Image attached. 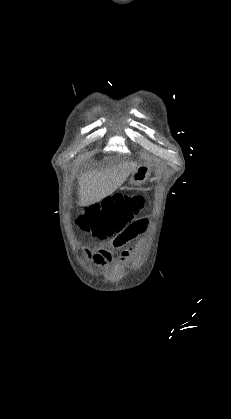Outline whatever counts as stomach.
<instances>
[{
  "label": "stomach",
  "mask_w": 231,
  "mask_h": 419,
  "mask_svg": "<svg viewBox=\"0 0 231 419\" xmlns=\"http://www.w3.org/2000/svg\"><path fill=\"white\" fill-rule=\"evenodd\" d=\"M150 165L147 163L140 164L137 169L132 173L130 184L142 185L150 175Z\"/></svg>",
  "instance_id": "1"
}]
</instances>
